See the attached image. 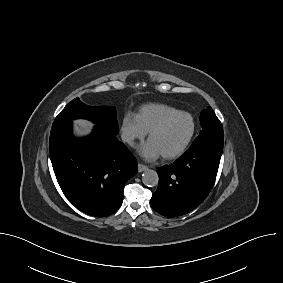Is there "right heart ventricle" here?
<instances>
[{"mask_svg": "<svg viewBox=\"0 0 283 283\" xmlns=\"http://www.w3.org/2000/svg\"><path fill=\"white\" fill-rule=\"evenodd\" d=\"M175 111L178 110L169 105L149 103L141 106L136 115L142 127L148 132L165 115Z\"/></svg>", "mask_w": 283, "mask_h": 283, "instance_id": "1", "label": "right heart ventricle"}]
</instances>
